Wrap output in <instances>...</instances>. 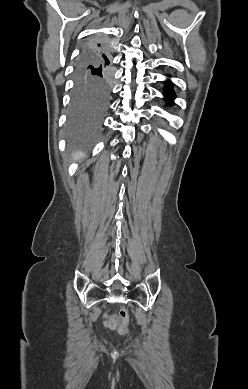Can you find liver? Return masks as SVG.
I'll use <instances>...</instances> for the list:
<instances>
[{"label":"liver","instance_id":"1","mask_svg":"<svg viewBox=\"0 0 248 389\" xmlns=\"http://www.w3.org/2000/svg\"><path fill=\"white\" fill-rule=\"evenodd\" d=\"M83 157H84V154L81 153V152L76 153V154L74 155V158H75L76 160L81 159V158H83Z\"/></svg>","mask_w":248,"mask_h":389}]
</instances>
